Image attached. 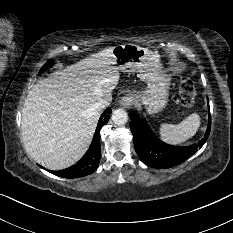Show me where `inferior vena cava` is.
<instances>
[{"mask_svg": "<svg viewBox=\"0 0 233 233\" xmlns=\"http://www.w3.org/2000/svg\"><path fill=\"white\" fill-rule=\"evenodd\" d=\"M109 99H100L94 104V109L97 111H101L110 105Z\"/></svg>", "mask_w": 233, "mask_h": 233, "instance_id": "602c4592", "label": "inferior vena cava"}]
</instances>
